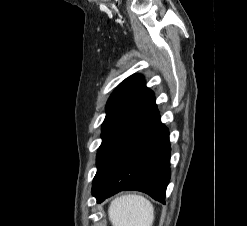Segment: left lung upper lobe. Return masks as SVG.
<instances>
[{
	"label": "left lung upper lobe",
	"instance_id": "1",
	"mask_svg": "<svg viewBox=\"0 0 247 226\" xmlns=\"http://www.w3.org/2000/svg\"><path fill=\"white\" fill-rule=\"evenodd\" d=\"M143 81V77L139 75H132L125 79L112 93L106 105V117L102 127L104 128L110 119L115 115L119 108L129 98V96L136 90V88Z\"/></svg>",
	"mask_w": 247,
	"mask_h": 226
}]
</instances>
